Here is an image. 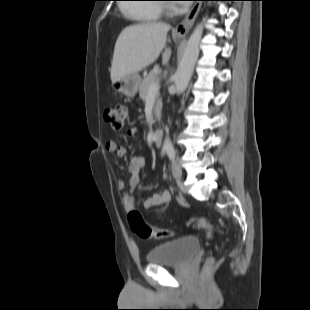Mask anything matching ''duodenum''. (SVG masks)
<instances>
[{
	"instance_id": "obj_1",
	"label": "duodenum",
	"mask_w": 310,
	"mask_h": 310,
	"mask_svg": "<svg viewBox=\"0 0 310 310\" xmlns=\"http://www.w3.org/2000/svg\"><path fill=\"white\" fill-rule=\"evenodd\" d=\"M164 132L162 130H156L152 134V141L155 146H160L162 144Z\"/></svg>"
}]
</instances>
